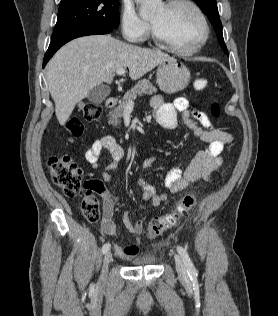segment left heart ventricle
<instances>
[{"label":"left heart ventricle","mask_w":278,"mask_h":316,"mask_svg":"<svg viewBox=\"0 0 278 316\" xmlns=\"http://www.w3.org/2000/svg\"><path fill=\"white\" fill-rule=\"evenodd\" d=\"M150 21L159 33L182 48H192L202 39L203 26L195 11L187 5L167 8L161 5Z\"/></svg>","instance_id":"left-heart-ventricle-1"}]
</instances>
